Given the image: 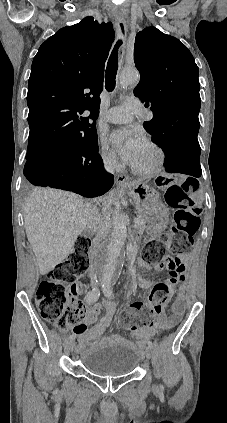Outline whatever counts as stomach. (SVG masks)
Listing matches in <instances>:
<instances>
[{"mask_svg": "<svg viewBox=\"0 0 227 423\" xmlns=\"http://www.w3.org/2000/svg\"><path fill=\"white\" fill-rule=\"evenodd\" d=\"M122 190H126L129 196L133 198L136 204V210L146 217L148 211L151 210L153 204H156L158 200V192L147 186V184H142V182H129L126 186H123Z\"/></svg>", "mask_w": 227, "mask_h": 423, "instance_id": "stomach-1", "label": "stomach"}]
</instances>
